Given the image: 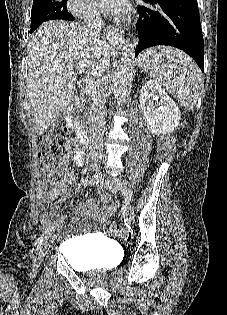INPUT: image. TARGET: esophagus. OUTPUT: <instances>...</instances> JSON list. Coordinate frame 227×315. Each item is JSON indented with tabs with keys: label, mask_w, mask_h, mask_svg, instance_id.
I'll return each instance as SVG.
<instances>
[{
	"label": "esophagus",
	"mask_w": 227,
	"mask_h": 315,
	"mask_svg": "<svg viewBox=\"0 0 227 315\" xmlns=\"http://www.w3.org/2000/svg\"><path fill=\"white\" fill-rule=\"evenodd\" d=\"M105 32H106L107 38H111L113 36L115 39H119V40L122 39V34L118 28H111L109 26L105 29Z\"/></svg>",
	"instance_id": "esophagus-1"
}]
</instances>
